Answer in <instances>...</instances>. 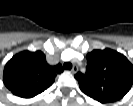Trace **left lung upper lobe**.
I'll list each match as a JSON object with an SVG mask.
<instances>
[{
    "label": "left lung upper lobe",
    "mask_w": 133,
    "mask_h": 106,
    "mask_svg": "<svg viewBox=\"0 0 133 106\" xmlns=\"http://www.w3.org/2000/svg\"><path fill=\"white\" fill-rule=\"evenodd\" d=\"M75 78L84 94L101 103L114 102L130 90L133 65L114 50H93L87 54L86 73L78 72Z\"/></svg>",
    "instance_id": "obj_1"
}]
</instances>
